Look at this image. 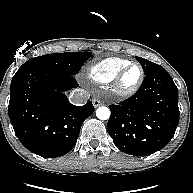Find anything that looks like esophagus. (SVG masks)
I'll list each match as a JSON object with an SVG mask.
<instances>
[{"label": "esophagus", "mask_w": 193, "mask_h": 193, "mask_svg": "<svg viewBox=\"0 0 193 193\" xmlns=\"http://www.w3.org/2000/svg\"><path fill=\"white\" fill-rule=\"evenodd\" d=\"M92 103H93V106H94L95 108L103 105V102H102L101 100H99V99H93V100H92Z\"/></svg>", "instance_id": "34e87169"}]
</instances>
